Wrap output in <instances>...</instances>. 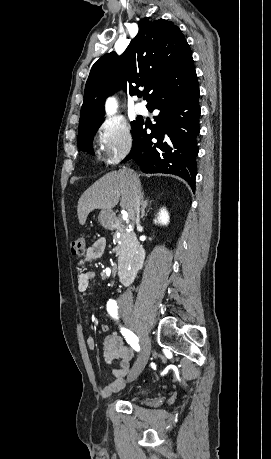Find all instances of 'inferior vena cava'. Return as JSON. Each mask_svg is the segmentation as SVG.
<instances>
[{
  "label": "inferior vena cava",
  "mask_w": 271,
  "mask_h": 459,
  "mask_svg": "<svg viewBox=\"0 0 271 459\" xmlns=\"http://www.w3.org/2000/svg\"><path fill=\"white\" fill-rule=\"evenodd\" d=\"M140 204H141V192L138 188V184H134L133 210H132V216L130 220H132V222H136V224H139L140 222V210H141ZM123 299H125V301H131L132 303L133 297H132V291L130 287H128L125 293H123Z\"/></svg>",
  "instance_id": "obj_1"
}]
</instances>
